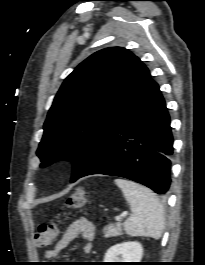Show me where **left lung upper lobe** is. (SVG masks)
Segmentation results:
<instances>
[{"label":"left lung upper lobe","mask_w":205,"mask_h":265,"mask_svg":"<svg viewBox=\"0 0 205 265\" xmlns=\"http://www.w3.org/2000/svg\"><path fill=\"white\" fill-rule=\"evenodd\" d=\"M150 73L130 51L100 50L65 79L54 98L37 150L41 167L73 161L72 180L82 172L143 94Z\"/></svg>","instance_id":"left-lung-upper-lobe-1"}]
</instances>
